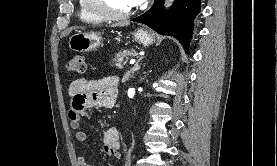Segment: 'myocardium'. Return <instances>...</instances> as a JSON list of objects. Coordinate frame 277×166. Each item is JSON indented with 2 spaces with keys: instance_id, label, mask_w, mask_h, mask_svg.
Returning <instances> with one entry per match:
<instances>
[{
  "instance_id": "1",
  "label": "myocardium",
  "mask_w": 277,
  "mask_h": 166,
  "mask_svg": "<svg viewBox=\"0 0 277 166\" xmlns=\"http://www.w3.org/2000/svg\"><path fill=\"white\" fill-rule=\"evenodd\" d=\"M82 4L88 13H90L91 15L97 18H100L102 20H107V21L125 20L134 13L133 8L121 14L110 13L100 8L98 5H96L93 0H82Z\"/></svg>"
}]
</instances>
